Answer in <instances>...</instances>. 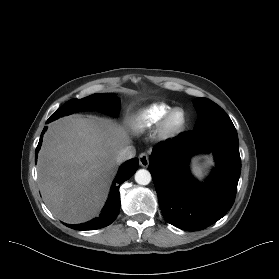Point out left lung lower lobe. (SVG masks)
Returning <instances> with one entry per match:
<instances>
[{
    "label": "left lung lower lobe",
    "instance_id": "1",
    "mask_svg": "<svg viewBox=\"0 0 279 279\" xmlns=\"http://www.w3.org/2000/svg\"><path fill=\"white\" fill-rule=\"evenodd\" d=\"M215 154L216 168L205 183L191 176L194 153ZM149 170L162 214L170 224L198 231L221 219L233 205L241 171L234 125H210L180 133L154 146Z\"/></svg>",
    "mask_w": 279,
    "mask_h": 279
}]
</instances>
